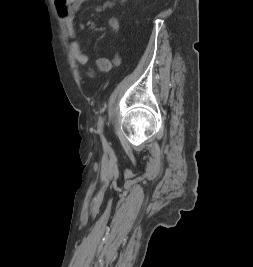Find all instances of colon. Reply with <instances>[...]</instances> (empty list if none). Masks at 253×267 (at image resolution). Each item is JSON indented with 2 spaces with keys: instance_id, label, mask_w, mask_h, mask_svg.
Here are the masks:
<instances>
[{
  "instance_id": "obj_1",
  "label": "colon",
  "mask_w": 253,
  "mask_h": 267,
  "mask_svg": "<svg viewBox=\"0 0 253 267\" xmlns=\"http://www.w3.org/2000/svg\"><path fill=\"white\" fill-rule=\"evenodd\" d=\"M62 2H69V0H62Z\"/></svg>"
}]
</instances>
